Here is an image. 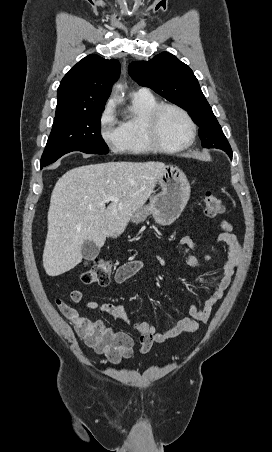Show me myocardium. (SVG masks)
Returning a JSON list of instances; mask_svg holds the SVG:
<instances>
[{
  "mask_svg": "<svg viewBox=\"0 0 272 452\" xmlns=\"http://www.w3.org/2000/svg\"><path fill=\"white\" fill-rule=\"evenodd\" d=\"M166 109H172L180 113L186 120L189 127V136L187 140L176 146H167L159 138L158 122L162 112ZM197 128L190 114L181 106L173 103H160L154 108L146 119L145 134L148 142L154 150L166 153L180 152L192 145L196 138Z\"/></svg>",
  "mask_w": 272,
  "mask_h": 452,
  "instance_id": "1",
  "label": "myocardium"
}]
</instances>
